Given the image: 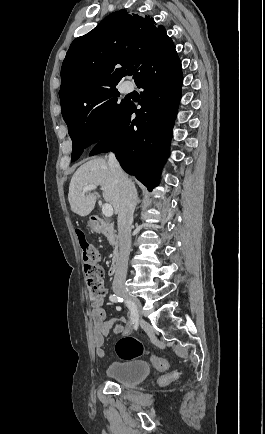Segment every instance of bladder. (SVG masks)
Segmentation results:
<instances>
[{"label":"bladder","instance_id":"bladder-1","mask_svg":"<svg viewBox=\"0 0 265 434\" xmlns=\"http://www.w3.org/2000/svg\"><path fill=\"white\" fill-rule=\"evenodd\" d=\"M108 376L126 387L141 383L150 373L149 365L138 359L114 362L108 368Z\"/></svg>","mask_w":265,"mask_h":434}]
</instances>
